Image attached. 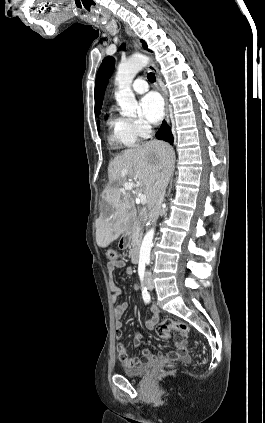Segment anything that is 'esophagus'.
Masks as SVG:
<instances>
[{
    "label": "esophagus",
    "instance_id": "34e87169",
    "mask_svg": "<svg viewBox=\"0 0 265 423\" xmlns=\"http://www.w3.org/2000/svg\"><path fill=\"white\" fill-rule=\"evenodd\" d=\"M125 31H126V33H127L130 37H133V38H134V34L132 33V31H131L128 27H125ZM138 47H139V48H141V46H140V43H139V42H138ZM148 69H149L151 72L155 73V75H156V77H157V81H158V80H159L158 70H157V68L155 67L154 63L149 62V63H148ZM158 89H159V91L161 92V94H162V96H163V98H164V102H165V120H166V122H167V123H169V121H170V115H169L168 100H167L166 94L164 93V91L162 90V88L159 86V84H158Z\"/></svg>",
    "mask_w": 265,
    "mask_h": 423
}]
</instances>
